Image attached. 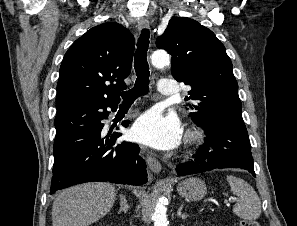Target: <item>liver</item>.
<instances>
[{
    "label": "liver",
    "mask_w": 297,
    "mask_h": 226,
    "mask_svg": "<svg viewBox=\"0 0 297 226\" xmlns=\"http://www.w3.org/2000/svg\"><path fill=\"white\" fill-rule=\"evenodd\" d=\"M116 199L108 183H87L62 191L52 207L53 226H88L106 215Z\"/></svg>",
    "instance_id": "obj_1"
}]
</instances>
